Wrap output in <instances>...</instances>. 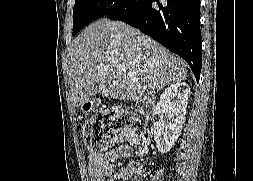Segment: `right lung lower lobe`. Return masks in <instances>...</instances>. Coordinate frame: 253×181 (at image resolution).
<instances>
[{"label": "right lung lower lobe", "mask_w": 253, "mask_h": 181, "mask_svg": "<svg viewBox=\"0 0 253 181\" xmlns=\"http://www.w3.org/2000/svg\"><path fill=\"white\" fill-rule=\"evenodd\" d=\"M200 0H127L109 19L130 24L191 67L197 82L202 67Z\"/></svg>", "instance_id": "right-lung-lower-lobe-1"}]
</instances>
